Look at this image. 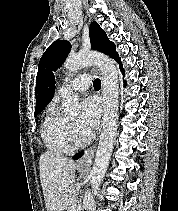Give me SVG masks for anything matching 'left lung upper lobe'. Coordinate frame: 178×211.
<instances>
[{
	"label": "left lung upper lobe",
	"mask_w": 178,
	"mask_h": 211,
	"mask_svg": "<svg viewBox=\"0 0 178 211\" xmlns=\"http://www.w3.org/2000/svg\"><path fill=\"white\" fill-rule=\"evenodd\" d=\"M90 38L92 48L109 55L116 61L119 59L113 42H110L106 33L101 29L97 22L90 25ZM70 50V43L66 40H56L45 51L38 64V73L36 77V87L42 76L50 69L57 70L65 61Z\"/></svg>",
	"instance_id": "5c2ea615"
}]
</instances>
